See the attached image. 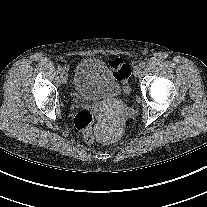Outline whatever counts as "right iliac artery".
<instances>
[{"label": "right iliac artery", "mask_w": 207, "mask_h": 207, "mask_svg": "<svg viewBox=\"0 0 207 207\" xmlns=\"http://www.w3.org/2000/svg\"><path fill=\"white\" fill-rule=\"evenodd\" d=\"M57 69H58V72H59V73L64 72V70H63V68H62L61 66H59Z\"/></svg>", "instance_id": "obj_1"}]
</instances>
